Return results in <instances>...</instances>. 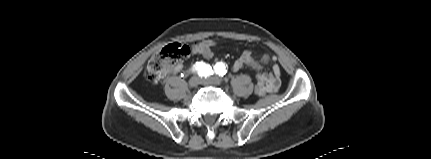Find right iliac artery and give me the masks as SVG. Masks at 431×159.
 Segmentation results:
<instances>
[{
    "label": "right iliac artery",
    "instance_id": "obj_1",
    "mask_svg": "<svg viewBox=\"0 0 431 159\" xmlns=\"http://www.w3.org/2000/svg\"><path fill=\"white\" fill-rule=\"evenodd\" d=\"M193 72H197V74L200 77H207L211 74H213L212 68L210 65L204 63V62H197L196 65L192 68Z\"/></svg>",
    "mask_w": 431,
    "mask_h": 159
}]
</instances>
